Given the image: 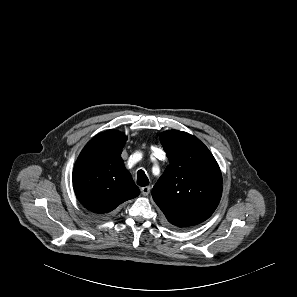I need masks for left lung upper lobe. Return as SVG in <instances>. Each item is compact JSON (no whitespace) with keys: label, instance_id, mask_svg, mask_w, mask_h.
I'll list each match as a JSON object with an SVG mask.
<instances>
[{"label":"left lung upper lobe","instance_id":"5c2ea615","mask_svg":"<svg viewBox=\"0 0 297 297\" xmlns=\"http://www.w3.org/2000/svg\"><path fill=\"white\" fill-rule=\"evenodd\" d=\"M160 141L170 164L153 187L154 201L177 227L207 220L222 194V175L214 156L199 139L183 131H164Z\"/></svg>","mask_w":297,"mask_h":297}]
</instances>
